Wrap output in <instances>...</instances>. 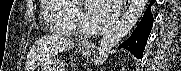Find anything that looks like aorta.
Segmentation results:
<instances>
[{
	"label": "aorta",
	"instance_id": "1",
	"mask_svg": "<svg viewBox=\"0 0 181 71\" xmlns=\"http://www.w3.org/2000/svg\"><path fill=\"white\" fill-rule=\"evenodd\" d=\"M147 2L148 0H131L122 18L104 34L98 47L97 65H101L110 50L132 30L138 19L142 16Z\"/></svg>",
	"mask_w": 181,
	"mask_h": 71
}]
</instances>
